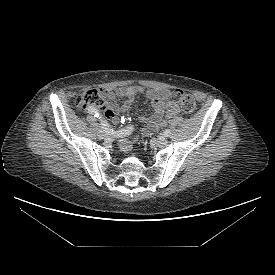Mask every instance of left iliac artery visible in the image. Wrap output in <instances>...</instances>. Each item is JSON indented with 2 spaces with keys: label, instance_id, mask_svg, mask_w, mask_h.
<instances>
[{
  "label": "left iliac artery",
  "instance_id": "44dca946",
  "mask_svg": "<svg viewBox=\"0 0 275 275\" xmlns=\"http://www.w3.org/2000/svg\"><path fill=\"white\" fill-rule=\"evenodd\" d=\"M164 135H165L166 137H169V136L171 135V131H170L169 129H166V130L164 131Z\"/></svg>",
  "mask_w": 275,
  "mask_h": 275
}]
</instances>
